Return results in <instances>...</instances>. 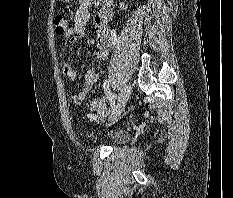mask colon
Returning a JSON list of instances; mask_svg holds the SVG:
<instances>
[{
	"mask_svg": "<svg viewBox=\"0 0 233 198\" xmlns=\"http://www.w3.org/2000/svg\"><path fill=\"white\" fill-rule=\"evenodd\" d=\"M55 32L57 35H63L67 28V22L62 14H56L54 17ZM106 99L103 97L94 98L90 101L88 109L92 112L103 113L106 108Z\"/></svg>",
	"mask_w": 233,
	"mask_h": 198,
	"instance_id": "1",
	"label": "colon"
}]
</instances>
